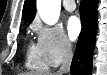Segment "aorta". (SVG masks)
Masks as SVG:
<instances>
[{
    "label": "aorta",
    "instance_id": "1",
    "mask_svg": "<svg viewBox=\"0 0 107 75\" xmlns=\"http://www.w3.org/2000/svg\"><path fill=\"white\" fill-rule=\"evenodd\" d=\"M37 9L42 21L48 25L58 22L61 10L60 0H37Z\"/></svg>",
    "mask_w": 107,
    "mask_h": 75
}]
</instances>
